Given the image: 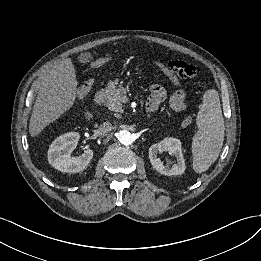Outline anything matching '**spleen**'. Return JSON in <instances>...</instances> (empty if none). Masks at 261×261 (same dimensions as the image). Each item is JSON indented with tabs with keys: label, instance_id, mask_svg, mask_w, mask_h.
Returning <instances> with one entry per match:
<instances>
[{
	"label": "spleen",
	"instance_id": "spleen-1",
	"mask_svg": "<svg viewBox=\"0 0 261 261\" xmlns=\"http://www.w3.org/2000/svg\"><path fill=\"white\" fill-rule=\"evenodd\" d=\"M196 124L199 130L192 139L193 169L202 173L218 158L224 141V119L216 90L204 93Z\"/></svg>",
	"mask_w": 261,
	"mask_h": 261
}]
</instances>
